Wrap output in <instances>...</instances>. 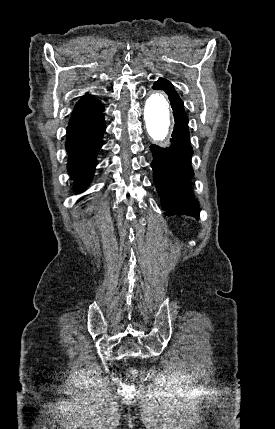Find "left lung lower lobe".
I'll use <instances>...</instances> for the list:
<instances>
[{
  "mask_svg": "<svg viewBox=\"0 0 275 429\" xmlns=\"http://www.w3.org/2000/svg\"><path fill=\"white\" fill-rule=\"evenodd\" d=\"M153 89L164 90L169 96L175 120L171 146L162 149L151 145L153 154L151 163L153 179L161 197L162 209L167 216L189 215L199 217V205L194 199L191 179L194 175L191 167L193 150L188 131V117L182 100L172 84L163 78L155 82Z\"/></svg>",
  "mask_w": 275,
  "mask_h": 429,
  "instance_id": "left-lung-lower-lobe-1",
  "label": "left lung lower lobe"
}]
</instances>
